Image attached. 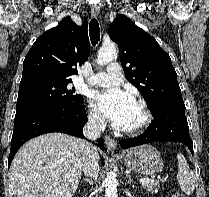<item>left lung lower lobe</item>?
Masks as SVG:
<instances>
[{
  "mask_svg": "<svg viewBox=\"0 0 209 197\" xmlns=\"http://www.w3.org/2000/svg\"><path fill=\"white\" fill-rule=\"evenodd\" d=\"M184 112V103L159 106L152 112L154 120L148 129L138 137L121 140V147L127 149L154 141H170L185 144L193 154V142Z\"/></svg>",
  "mask_w": 209,
  "mask_h": 197,
  "instance_id": "1",
  "label": "left lung lower lobe"
}]
</instances>
